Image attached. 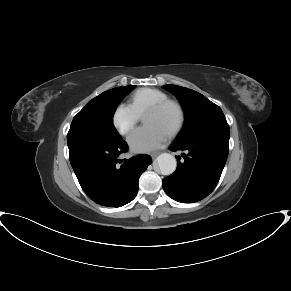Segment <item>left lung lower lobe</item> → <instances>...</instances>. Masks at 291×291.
<instances>
[{
    "mask_svg": "<svg viewBox=\"0 0 291 291\" xmlns=\"http://www.w3.org/2000/svg\"><path fill=\"white\" fill-rule=\"evenodd\" d=\"M230 131L213 132L186 142H174L169 149L181 150L178 167L163 179V189L172 199L193 203L208 196L216 187L229 151Z\"/></svg>",
    "mask_w": 291,
    "mask_h": 291,
    "instance_id": "left-lung-lower-lobe-1",
    "label": "left lung lower lobe"
}]
</instances>
